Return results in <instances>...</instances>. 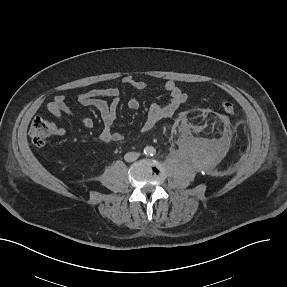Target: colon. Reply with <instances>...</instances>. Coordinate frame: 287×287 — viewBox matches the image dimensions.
I'll return each instance as SVG.
<instances>
[{
  "instance_id": "colon-1",
  "label": "colon",
  "mask_w": 287,
  "mask_h": 287,
  "mask_svg": "<svg viewBox=\"0 0 287 287\" xmlns=\"http://www.w3.org/2000/svg\"><path fill=\"white\" fill-rule=\"evenodd\" d=\"M222 109L226 113L235 111L234 103L225 101L222 103ZM56 134V125L53 121L45 118H36L29 129V136L32 143L37 147L44 146L47 141Z\"/></svg>"
}]
</instances>
